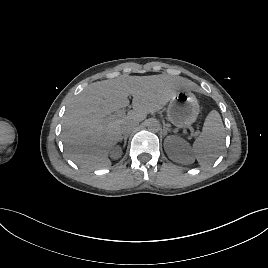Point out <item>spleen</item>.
Returning a JSON list of instances; mask_svg holds the SVG:
<instances>
[{
    "mask_svg": "<svg viewBox=\"0 0 268 268\" xmlns=\"http://www.w3.org/2000/svg\"><path fill=\"white\" fill-rule=\"evenodd\" d=\"M224 131L220 114L212 110L205 119L200 136L193 143V151L201 167L210 166L218 157L224 143Z\"/></svg>",
    "mask_w": 268,
    "mask_h": 268,
    "instance_id": "3e777b00",
    "label": "spleen"
}]
</instances>
